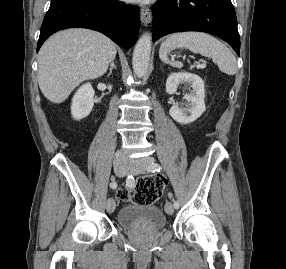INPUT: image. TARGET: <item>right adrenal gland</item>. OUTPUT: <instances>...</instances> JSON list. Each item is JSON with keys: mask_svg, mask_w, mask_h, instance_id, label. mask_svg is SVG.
<instances>
[{"mask_svg": "<svg viewBox=\"0 0 286 269\" xmlns=\"http://www.w3.org/2000/svg\"><path fill=\"white\" fill-rule=\"evenodd\" d=\"M114 68H116V66H115L114 59H113V60L111 61V64H110V69H109L110 73H109V75L112 73V70H113Z\"/></svg>", "mask_w": 286, "mask_h": 269, "instance_id": "obj_1", "label": "right adrenal gland"}]
</instances>
